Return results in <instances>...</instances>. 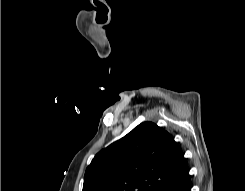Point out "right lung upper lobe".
<instances>
[{"mask_svg":"<svg viewBox=\"0 0 245 191\" xmlns=\"http://www.w3.org/2000/svg\"><path fill=\"white\" fill-rule=\"evenodd\" d=\"M188 172L173 137L143 122L101 150L87 167L82 191H159Z\"/></svg>","mask_w":245,"mask_h":191,"instance_id":"cb5924a9","label":"right lung upper lobe"}]
</instances>
